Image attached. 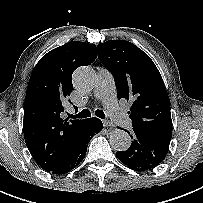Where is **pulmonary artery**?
<instances>
[{"instance_id": "1", "label": "pulmonary artery", "mask_w": 203, "mask_h": 203, "mask_svg": "<svg viewBox=\"0 0 203 203\" xmlns=\"http://www.w3.org/2000/svg\"><path fill=\"white\" fill-rule=\"evenodd\" d=\"M95 96L103 102L108 115L118 125L124 128L131 127L132 120L117 103L113 75L105 68L99 69Z\"/></svg>"}]
</instances>
